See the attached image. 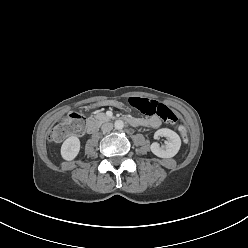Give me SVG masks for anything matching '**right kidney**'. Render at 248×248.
<instances>
[{
    "instance_id": "obj_1",
    "label": "right kidney",
    "mask_w": 248,
    "mask_h": 248,
    "mask_svg": "<svg viewBox=\"0 0 248 248\" xmlns=\"http://www.w3.org/2000/svg\"><path fill=\"white\" fill-rule=\"evenodd\" d=\"M80 151V140L76 136L67 138L61 147V156L63 159L70 161L73 160Z\"/></svg>"
}]
</instances>
